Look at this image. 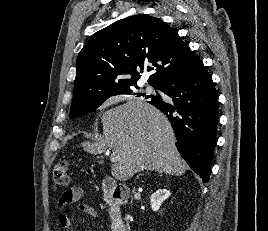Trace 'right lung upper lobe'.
I'll return each mask as SVG.
<instances>
[{"instance_id":"obj_1","label":"right lung upper lobe","mask_w":268,"mask_h":231,"mask_svg":"<svg viewBox=\"0 0 268 231\" xmlns=\"http://www.w3.org/2000/svg\"><path fill=\"white\" fill-rule=\"evenodd\" d=\"M148 83L167 80L195 69L202 61L161 19L135 15L96 32L80 51L72 103L87 104L120 89L137 87L146 64Z\"/></svg>"}]
</instances>
